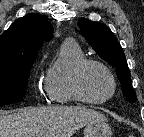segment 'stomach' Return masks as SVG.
I'll list each match as a JSON object with an SVG mask.
<instances>
[{
  "mask_svg": "<svg viewBox=\"0 0 144 137\" xmlns=\"http://www.w3.org/2000/svg\"><path fill=\"white\" fill-rule=\"evenodd\" d=\"M112 130L106 121L89 123L84 130V137H111Z\"/></svg>",
  "mask_w": 144,
  "mask_h": 137,
  "instance_id": "obj_1",
  "label": "stomach"
}]
</instances>
